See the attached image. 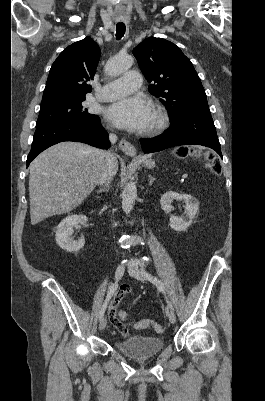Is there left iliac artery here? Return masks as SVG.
<instances>
[{"label": "left iliac artery", "mask_w": 265, "mask_h": 401, "mask_svg": "<svg viewBox=\"0 0 265 401\" xmlns=\"http://www.w3.org/2000/svg\"><path fill=\"white\" fill-rule=\"evenodd\" d=\"M142 274L145 277H147L149 281H151L153 284H155L157 286V288L166 295L164 285L157 277L152 276L151 274L147 273L145 270L142 271ZM166 301H167L170 309L173 310V306H172L171 302L168 300L167 296H166Z\"/></svg>", "instance_id": "1"}]
</instances>
